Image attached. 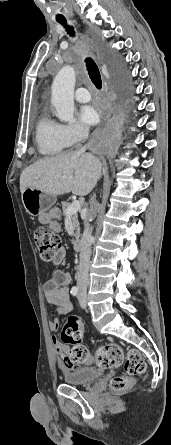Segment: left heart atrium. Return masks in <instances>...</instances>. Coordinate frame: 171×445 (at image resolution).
<instances>
[{
    "mask_svg": "<svg viewBox=\"0 0 171 445\" xmlns=\"http://www.w3.org/2000/svg\"><path fill=\"white\" fill-rule=\"evenodd\" d=\"M79 120L85 126H91L98 122L99 115L93 106H83L79 111Z\"/></svg>",
    "mask_w": 171,
    "mask_h": 445,
    "instance_id": "1",
    "label": "left heart atrium"
}]
</instances>
